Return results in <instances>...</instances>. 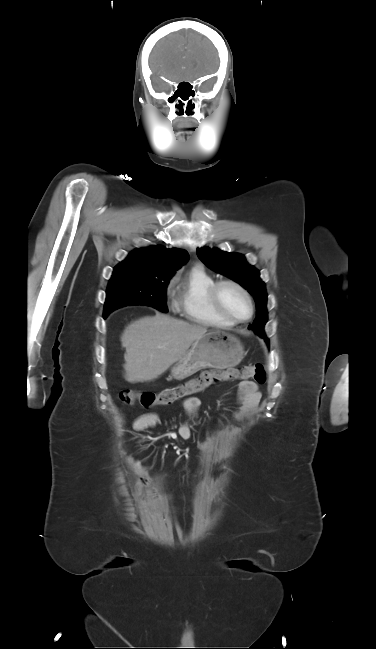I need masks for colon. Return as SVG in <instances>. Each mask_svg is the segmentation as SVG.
<instances>
[{
	"instance_id": "colon-1",
	"label": "colon",
	"mask_w": 376,
	"mask_h": 649,
	"mask_svg": "<svg viewBox=\"0 0 376 649\" xmlns=\"http://www.w3.org/2000/svg\"><path fill=\"white\" fill-rule=\"evenodd\" d=\"M238 379L253 380L258 384H263L266 381L265 369L262 364H251L224 371H203L185 383L168 387L158 392H141L125 389L120 392V399L127 405H132L136 402L144 407L168 405L176 400L201 392L220 382Z\"/></svg>"
}]
</instances>
